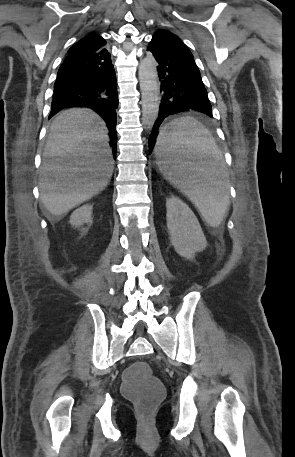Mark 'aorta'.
Masks as SVG:
<instances>
[{
  "label": "aorta",
  "instance_id": "obj_1",
  "mask_svg": "<svg viewBox=\"0 0 295 457\" xmlns=\"http://www.w3.org/2000/svg\"><path fill=\"white\" fill-rule=\"evenodd\" d=\"M138 76L142 95V123L150 129L159 113V83L155 59L151 55L140 61Z\"/></svg>",
  "mask_w": 295,
  "mask_h": 457
}]
</instances>
